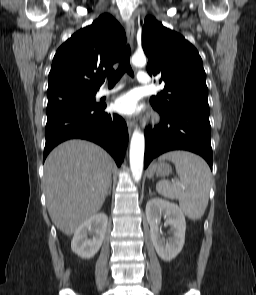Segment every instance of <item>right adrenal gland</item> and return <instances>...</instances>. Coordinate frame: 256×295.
Instances as JSON below:
<instances>
[{
	"instance_id": "2a0ac1e0",
	"label": "right adrenal gland",
	"mask_w": 256,
	"mask_h": 295,
	"mask_svg": "<svg viewBox=\"0 0 256 295\" xmlns=\"http://www.w3.org/2000/svg\"><path fill=\"white\" fill-rule=\"evenodd\" d=\"M111 188H112V183L109 186L108 192H107V196L111 194Z\"/></svg>"
}]
</instances>
